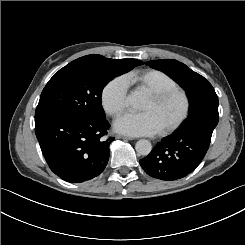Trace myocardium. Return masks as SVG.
I'll return each mask as SVG.
<instances>
[{
	"instance_id": "obj_1",
	"label": "myocardium",
	"mask_w": 245,
	"mask_h": 245,
	"mask_svg": "<svg viewBox=\"0 0 245 245\" xmlns=\"http://www.w3.org/2000/svg\"><path fill=\"white\" fill-rule=\"evenodd\" d=\"M146 94L150 96L158 105L163 104L174 97H178L181 100L182 107L180 113L170 122L161 127V132L163 134H168L175 130L188 116L190 100L187 92L184 89L180 87H172L168 89L149 88L146 91Z\"/></svg>"
}]
</instances>
